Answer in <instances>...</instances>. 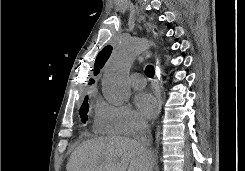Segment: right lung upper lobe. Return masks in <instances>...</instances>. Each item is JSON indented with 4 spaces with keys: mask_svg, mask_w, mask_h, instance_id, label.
Returning <instances> with one entry per match:
<instances>
[{
    "mask_svg": "<svg viewBox=\"0 0 245 171\" xmlns=\"http://www.w3.org/2000/svg\"><path fill=\"white\" fill-rule=\"evenodd\" d=\"M90 83H94V80L90 79Z\"/></svg>",
    "mask_w": 245,
    "mask_h": 171,
    "instance_id": "1",
    "label": "right lung upper lobe"
}]
</instances>
